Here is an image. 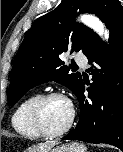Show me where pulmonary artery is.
Segmentation results:
<instances>
[{
    "mask_svg": "<svg viewBox=\"0 0 123 152\" xmlns=\"http://www.w3.org/2000/svg\"><path fill=\"white\" fill-rule=\"evenodd\" d=\"M75 61L76 63H78L79 65H81L82 67H85L87 64V60L83 55H78L75 57Z\"/></svg>",
    "mask_w": 123,
    "mask_h": 152,
    "instance_id": "e3ab8cb5",
    "label": "pulmonary artery"
}]
</instances>
